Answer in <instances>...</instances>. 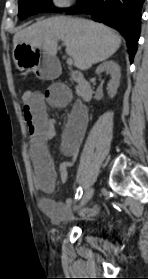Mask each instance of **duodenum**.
Here are the masks:
<instances>
[{
	"label": "duodenum",
	"instance_id": "obj_1",
	"mask_svg": "<svg viewBox=\"0 0 148 279\" xmlns=\"http://www.w3.org/2000/svg\"><path fill=\"white\" fill-rule=\"evenodd\" d=\"M73 77L77 80L80 97L83 101L88 102L92 97L91 84L78 74H74Z\"/></svg>",
	"mask_w": 148,
	"mask_h": 279
}]
</instances>
